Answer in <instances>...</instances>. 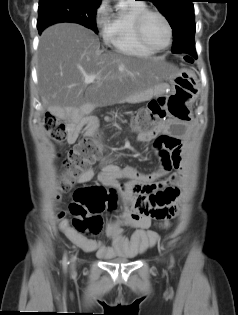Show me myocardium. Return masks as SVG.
Segmentation results:
<instances>
[{
	"instance_id": "1",
	"label": "myocardium",
	"mask_w": 238,
	"mask_h": 315,
	"mask_svg": "<svg viewBox=\"0 0 238 315\" xmlns=\"http://www.w3.org/2000/svg\"><path fill=\"white\" fill-rule=\"evenodd\" d=\"M150 15H156L160 17L163 22L166 25L167 31H168V41L163 47H155L152 44H150L144 35V23L148 16ZM135 33L139 40V42L146 47L147 49L153 51V52H161L166 50L168 47H170L172 40H173V29L171 26V23L169 22L168 18L160 11L153 10V9H146L142 11L135 20Z\"/></svg>"
}]
</instances>
